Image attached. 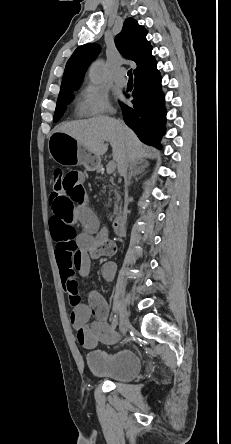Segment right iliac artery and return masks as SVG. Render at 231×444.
<instances>
[{
	"instance_id": "1",
	"label": "right iliac artery",
	"mask_w": 231,
	"mask_h": 444,
	"mask_svg": "<svg viewBox=\"0 0 231 444\" xmlns=\"http://www.w3.org/2000/svg\"><path fill=\"white\" fill-rule=\"evenodd\" d=\"M118 325V320L116 315L114 316L113 320H112V327L115 329Z\"/></svg>"
}]
</instances>
